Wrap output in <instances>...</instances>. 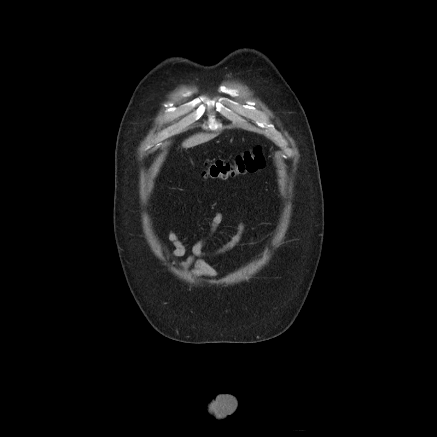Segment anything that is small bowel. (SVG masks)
Returning a JSON list of instances; mask_svg holds the SVG:
<instances>
[{
	"instance_id": "small-bowel-1",
	"label": "small bowel",
	"mask_w": 437,
	"mask_h": 437,
	"mask_svg": "<svg viewBox=\"0 0 437 437\" xmlns=\"http://www.w3.org/2000/svg\"><path fill=\"white\" fill-rule=\"evenodd\" d=\"M223 221V215L217 212L211 219L209 230L207 234L199 239L192 247L191 254L179 263V267L183 270H188L194 276L205 277V278H215L219 275V272L210 264H208L204 258L208 256L219 255L225 253L239 244L243 236L245 225L240 221L237 225L236 233L231 237V239L225 243L223 246L212 252H206L204 246L208 239L213 235L216 229ZM167 238L172 244L173 249L171 250V255L176 258L185 256L186 247L179 238L178 234L174 231H169ZM253 244V241L251 242Z\"/></svg>"
}]
</instances>
